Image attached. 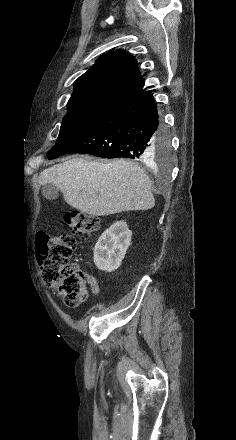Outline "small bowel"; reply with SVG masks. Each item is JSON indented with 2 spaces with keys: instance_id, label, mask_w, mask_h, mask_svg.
<instances>
[{
  "instance_id": "small-bowel-1",
  "label": "small bowel",
  "mask_w": 236,
  "mask_h": 440,
  "mask_svg": "<svg viewBox=\"0 0 236 440\" xmlns=\"http://www.w3.org/2000/svg\"><path fill=\"white\" fill-rule=\"evenodd\" d=\"M86 278H87V282H88V284L90 286L91 292L94 295L98 294L100 288H99V284H98L96 278L94 276L90 275V274H87Z\"/></svg>"
}]
</instances>
